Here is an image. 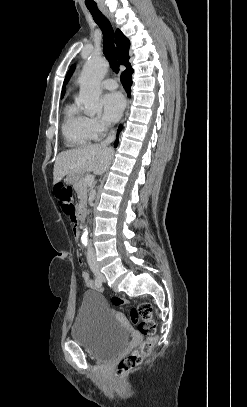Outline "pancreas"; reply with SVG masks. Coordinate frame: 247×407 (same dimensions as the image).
<instances>
[{"instance_id": "cf45deb5", "label": "pancreas", "mask_w": 247, "mask_h": 407, "mask_svg": "<svg viewBox=\"0 0 247 407\" xmlns=\"http://www.w3.org/2000/svg\"><path fill=\"white\" fill-rule=\"evenodd\" d=\"M73 187L78 195V198L80 199V204L79 206H85L87 202V193L91 189V185L85 182L84 178H80L77 182L73 184Z\"/></svg>"}]
</instances>
